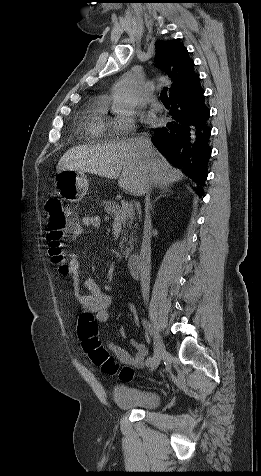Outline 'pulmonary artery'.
<instances>
[{"label":"pulmonary artery","mask_w":261,"mask_h":476,"mask_svg":"<svg viewBox=\"0 0 261 476\" xmlns=\"http://www.w3.org/2000/svg\"><path fill=\"white\" fill-rule=\"evenodd\" d=\"M149 103L151 107L155 110H161L163 108L161 102H159L158 99L154 96L150 98Z\"/></svg>","instance_id":"1"}]
</instances>
